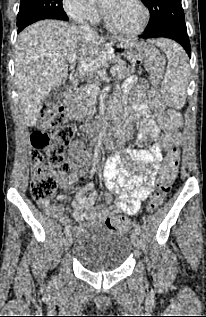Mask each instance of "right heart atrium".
Returning <instances> with one entry per match:
<instances>
[{
    "instance_id": "1",
    "label": "right heart atrium",
    "mask_w": 206,
    "mask_h": 317,
    "mask_svg": "<svg viewBox=\"0 0 206 317\" xmlns=\"http://www.w3.org/2000/svg\"><path fill=\"white\" fill-rule=\"evenodd\" d=\"M63 8L77 23H95L99 18L98 9L88 0H63Z\"/></svg>"
}]
</instances>
